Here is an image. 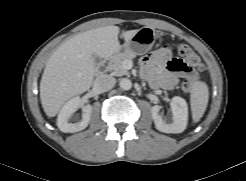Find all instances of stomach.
<instances>
[{"label": "stomach", "instance_id": "obj_1", "mask_svg": "<svg viewBox=\"0 0 246 181\" xmlns=\"http://www.w3.org/2000/svg\"><path fill=\"white\" fill-rule=\"evenodd\" d=\"M156 38L157 34L155 30L149 27L141 28L128 42H125V44L121 46L116 54L123 52H131L135 55L145 54L151 49Z\"/></svg>", "mask_w": 246, "mask_h": 181}]
</instances>
